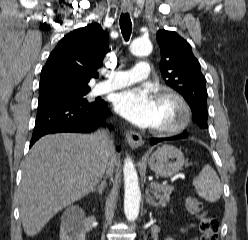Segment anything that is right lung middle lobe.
<instances>
[{
    "label": "right lung middle lobe",
    "mask_w": 248,
    "mask_h": 240,
    "mask_svg": "<svg viewBox=\"0 0 248 240\" xmlns=\"http://www.w3.org/2000/svg\"><path fill=\"white\" fill-rule=\"evenodd\" d=\"M87 92H83L80 94H75V95H67V96H61V97H56L48 100H39V103L45 102V101H68V102H73L77 104H91L87 101L86 99V94Z\"/></svg>",
    "instance_id": "obj_1"
}]
</instances>
